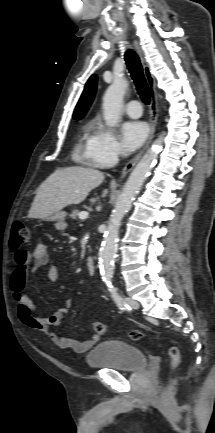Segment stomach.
Returning a JSON list of instances; mask_svg holds the SVG:
<instances>
[{
    "instance_id": "obj_1",
    "label": "stomach",
    "mask_w": 215,
    "mask_h": 433,
    "mask_svg": "<svg viewBox=\"0 0 215 433\" xmlns=\"http://www.w3.org/2000/svg\"><path fill=\"white\" fill-rule=\"evenodd\" d=\"M66 213L63 211H58L47 217V220L50 221H56V222H63L65 219Z\"/></svg>"
}]
</instances>
